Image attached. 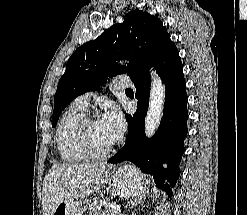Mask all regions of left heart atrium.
<instances>
[{"instance_id": "obj_1", "label": "left heart atrium", "mask_w": 247, "mask_h": 215, "mask_svg": "<svg viewBox=\"0 0 247 215\" xmlns=\"http://www.w3.org/2000/svg\"><path fill=\"white\" fill-rule=\"evenodd\" d=\"M99 121L113 142L120 138L126 128L124 117L116 108L108 109Z\"/></svg>"}]
</instances>
